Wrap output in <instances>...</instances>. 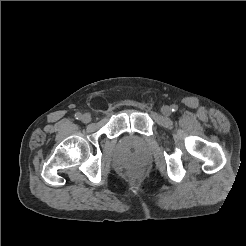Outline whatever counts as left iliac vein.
<instances>
[{
  "instance_id": "1",
  "label": "left iliac vein",
  "mask_w": 246,
  "mask_h": 246,
  "mask_svg": "<svg viewBox=\"0 0 246 246\" xmlns=\"http://www.w3.org/2000/svg\"><path fill=\"white\" fill-rule=\"evenodd\" d=\"M161 112L164 116H170L171 115V108L169 106H163L161 108Z\"/></svg>"
}]
</instances>
